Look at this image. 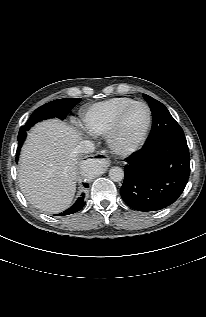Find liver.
<instances>
[{"label":"liver","mask_w":206,"mask_h":317,"mask_svg":"<svg viewBox=\"0 0 206 317\" xmlns=\"http://www.w3.org/2000/svg\"><path fill=\"white\" fill-rule=\"evenodd\" d=\"M80 133L65 122L46 120L28 133L19 165V184L35 208L58 213L76 191Z\"/></svg>","instance_id":"1"}]
</instances>
